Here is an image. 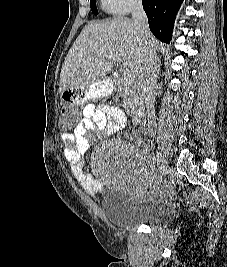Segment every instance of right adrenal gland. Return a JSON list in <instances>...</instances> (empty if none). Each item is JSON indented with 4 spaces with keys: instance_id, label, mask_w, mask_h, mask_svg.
<instances>
[{
    "instance_id": "obj_1",
    "label": "right adrenal gland",
    "mask_w": 227,
    "mask_h": 267,
    "mask_svg": "<svg viewBox=\"0 0 227 267\" xmlns=\"http://www.w3.org/2000/svg\"><path fill=\"white\" fill-rule=\"evenodd\" d=\"M159 70H160V64L158 65V71H157L158 73H159Z\"/></svg>"
}]
</instances>
